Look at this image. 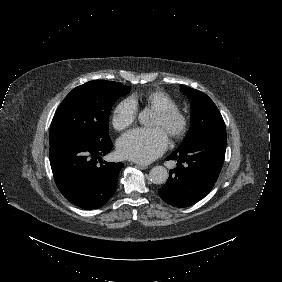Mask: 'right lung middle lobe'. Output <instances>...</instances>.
Instances as JSON below:
<instances>
[{
	"label": "right lung middle lobe",
	"instance_id": "1",
	"mask_svg": "<svg viewBox=\"0 0 282 282\" xmlns=\"http://www.w3.org/2000/svg\"><path fill=\"white\" fill-rule=\"evenodd\" d=\"M121 83L93 80L74 88L62 101L52 120L50 145L70 137L110 140L109 114L115 101L129 93Z\"/></svg>",
	"mask_w": 282,
	"mask_h": 282
}]
</instances>
